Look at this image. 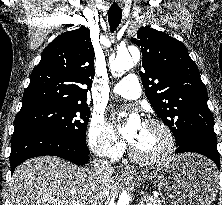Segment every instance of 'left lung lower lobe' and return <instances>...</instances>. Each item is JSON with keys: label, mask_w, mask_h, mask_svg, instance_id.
<instances>
[{"label": "left lung lower lobe", "mask_w": 222, "mask_h": 205, "mask_svg": "<svg viewBox=\"0 0 222 205\" xmlns=\"http://www.w3.org/2000/svg\"><path fill=\"white\" fill-rule=\"evenodd\" d=\"M176 153L195 152L211 159L220 169V157L217 150V140L204 135H193L177 144Z\"/></svg>", "instance_id": "0a47b994"}]
</instances>
